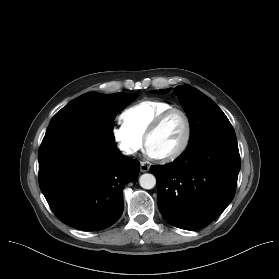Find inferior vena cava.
<instances>
[{
    "mask_svg": "<svg viewBox=\"0 0 279 279\" xmlns=\"http://www.w3.org/2000/svg\"><path fill=\"white\" fill-rule=\"evenodd\" d=\"M127 153L130 154V153H131V150H127Z\"/></svg>",
    "mask_w": 279,
    "mask_h": 279,
    "instance_id": "obj_1",
    "label": "inferior vena cava"
}]
</instances>
